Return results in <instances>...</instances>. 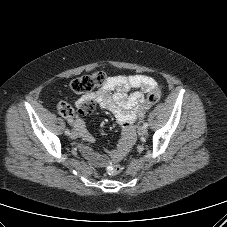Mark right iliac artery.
<instances>
[{
  "label": "right iliac artery",
  "instance_id": "right-iliac-artery-1",
  "mask_svg": "<svg viewBox=\"0 0 227 227\" xmlns=\"http://www.w3.org/2000/svg\"><path fill=\"white\" fill-rule=\"evenodd\" d=\"M65 134L66 135H69L70 134V131L68 129L65 130Z\"/></svg>",
  "mask_w": 227,
  "mask_h": 227
}]
</instances>
